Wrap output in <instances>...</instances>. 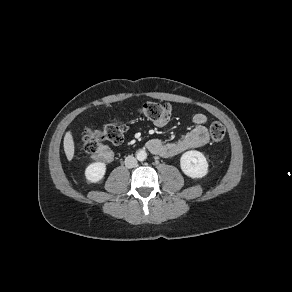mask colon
<instances>
[{
    "label": "colon",
    "instance_id": "colon-1",
    "mask_svg": "<svg viewBox=\"0 0 292 292\" xmlns=\"http://www.w3.org/2000/svg\"><path fill=\"white\" fill-rule=\"evenodd\" d=\"M138 114L155 122L168 120L172 114V108L166 103L147 102L138 108ZM210 135L213 141L222 143L226 136L225 127L219 122L212 123ZM123 139V130L120 121L117 119L111 120L102 130L85 129L82 137L84 150L91 155L100 154V159L103 161L112 159V152L108 149H103V142L120 144Z\"/></svg>",
    "mask_w": 292,
    "mask_h": 292
}]
</instances>
